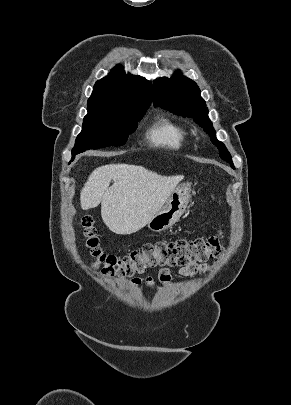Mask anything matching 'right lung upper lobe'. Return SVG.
Masks as SVG:
<instances>
[{
	"label": "right lung upper lobe",
	"instance_id": "1",
	"mask_svg": "<svg viewBox=\"0 0 291 405\" xmlns=\"http://www.w3.org/2000/svg\"><path fill=\"white\" fill-rule=\"evenodd\" d=\"M152 85L140 76L126 75L117 65L110 74L94 85L87 109L137 110L151 104Z\"/></svg>",
	"mask_w": 291,
	"mask_h": 405
}]
</instances>
